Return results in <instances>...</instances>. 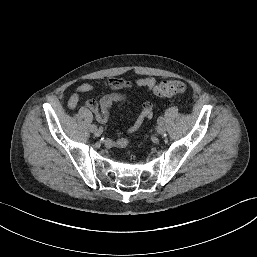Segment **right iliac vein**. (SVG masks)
<instances>
[{"label":"right iliac vein","mask_w":257,"mask_h":257,"mask_svg":"<svg viewBox=\"0 0 257 257\" xmlns=\"http://www.w3.org/2000/svg\"><path fill=\"white\" fill-rule=\"evenodd\" d=\"M93 133H94L95 136L98 137V136H100V135L102 134V130H101L100 128H99V129L97 128V129H95V130L93 131Z\"/></svg>","instance_id":"obj_1"}]
</instances>
